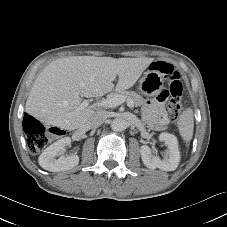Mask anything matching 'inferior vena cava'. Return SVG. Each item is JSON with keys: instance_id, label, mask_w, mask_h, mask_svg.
Here are the masks:
<instances>
[{"instance_id": "obj_1", "label": "inferior vena cava", "mask_w": 227, "mask_h": 227, "mask_svg": "<svg viewBox=\"0 0 227 227\" xmlns=\"http://www.w3.org/2000/svg\"><path fill=\"white\" fill-rule=\"evenodd\" d=\"M107 116L104 111L95 112L87 121V126L91 129L101 126L106 120Z\"/></svg>"}]
</instances>
